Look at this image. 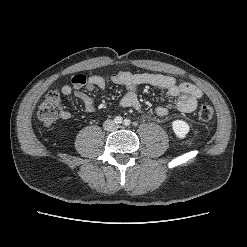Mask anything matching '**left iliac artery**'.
<instances>
[{"label":"left iliac artery","mask_w":247,"mask_h":247,"mask_svg":"<svg viewBox=\"0 0 247 247\" xmlns=\"http://www.w3.org/2000/svg\"><path fill=\"white\" fill-rule=\"evenodd\" d=\"M130 123H131V122H130V120H129V119H125V120H124V125H125V126H129V125H130Z\"/></svg>","instance_id":"left-iliac-artery-1"}]
</instances>
